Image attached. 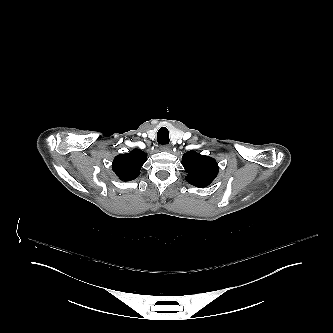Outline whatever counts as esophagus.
<instances>
[{
  "mask_svg": "<svg viewBox=\"0 0 333 333\" xmlns=\"http://www.w3.org/2000/svg\"><path fill=\"white\" fill-rule=\"evenodd\" d=\"M162 150L165 151V152H170L171 151V146L170 145H164Z\"/></svg>",
  "mask_w": 333,
  "mask_h": 333,
  "instance_id": "obj_1",
  "label": "esophagus"
}]
</instances>
